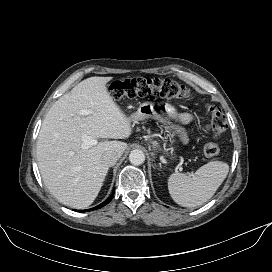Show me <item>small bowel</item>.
<instances>
[{"instance_id": "small-bowel-1", "label": "small bowel", "mask_w": 272, "mask_h": 272, "mask_svg": "<svg viewBox=\"0 0 272 272\" xmlns=\"http://www.w3.org/2000/svg\"><path fill=\"white\" fill-rule=\"evenodd\" d=\"M192 120H193V116L190 114L185 113L180 116V121L184 124H187V123L191 122ZM208 128H209V126H208Z\"/></svg>"}]
</instances>
